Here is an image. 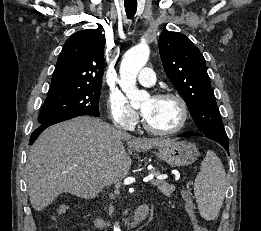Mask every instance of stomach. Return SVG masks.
Listing matches in <instances>:
<instances>
[{
	"label": "stomach",
	"mask_w": 261,
	"mask_h": 231,
	"mask_svg": "<svg viewBox=\"0 0 261 231\" xmlns=\"http://www.w3.org/2000/svg\"><path fill=\"white\" fill-rule=\"evenodd\" d=\"M156 156L171 166L181 167L194 163L199 155L195 144L187 141L165 143L158 147Z\"/></svg>",
	"instance_id": "1"
}]
</instances>
